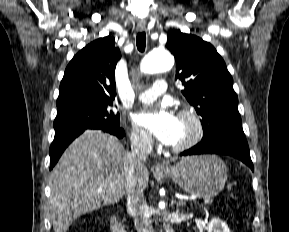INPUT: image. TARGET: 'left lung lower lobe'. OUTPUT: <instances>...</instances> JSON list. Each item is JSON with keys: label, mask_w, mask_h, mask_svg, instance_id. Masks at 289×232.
I'll list each match as a JSON object with an SVG mask.
<instances>
[{"label": "left lung lower lobe", "mask_w": 289, "mask_h": 232, "mask_svg": "<svg viewBox=\"0 0 289 232\" xmlns=\"http://www.w3.org/2000/svg\"><path fill=\"white\" fill-rule=\"evenodd\" d=\"M198 154H225L233 156L244 162L254 171L244 134H228L207 141H201L180 155L189 156Z\"/></svg>", "instance_id": "0a47b994"}]
</instances>
